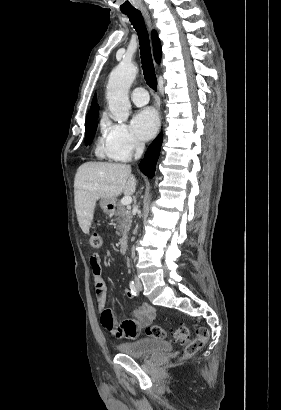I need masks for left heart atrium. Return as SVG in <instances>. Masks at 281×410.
I'll return each instance as SVG.
<instances>
[{"label":"left heart atrium","instance_id":"1","mask_svg":"<svg viewBox=\"0 0 281 410\" xmlns=\"http://www.w3.org/2000/svg\"><path fill=\"white\" fill-rule=\"evenodd\" d=\"M159 127V117L152 108L138 111L132 119V128L135 134L142 140L152 138Z\"/></svg>","mask_w":281,"mask_h":410}]
</instances>
